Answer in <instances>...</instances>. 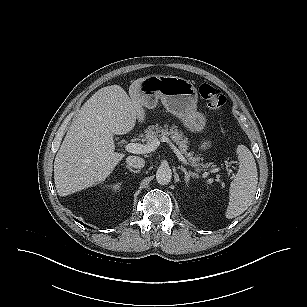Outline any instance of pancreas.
Returning a JSON list of instances; mask_svg holds the SVG:
<instances>
[{
    "label": "pancreas",
    "instance_id": "obj_1",
    "mask_svg": "<svg viewBox=\"0 0 307 307\" xmlns=\"http://www.w3.org/2000/svg\"><path fill=\"white\" fill-rule=\"evenodd\" d=\"M145 140L147 143H151L153 140L158 137H167L170 136L171 139L178 145V148L182 154L186 156L188 161L195 167H209L210 164H201L199 163L202 158L199 155H194L193 152H188V139L185 138L181 131L177 129L175 125L168 128V125H165V128L159 126V124L151 125L145 130ZM214 167V165H212ZM215 171V169H212Z\"/></svg>",
    "mask_w": 307,
    "mask_h": 307
}]
</instances>
